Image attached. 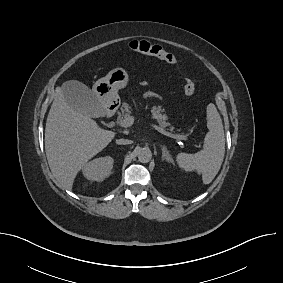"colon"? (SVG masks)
<instances>
[{
    "label": "colon",
    "mask_w": 283,
    "mask_h": 283,
    "mask_svg": "<svg viewBox=\"0 0 283 283\" xmlns=\"http://www.w3.org/2000/svg\"><path fill=\"white\" fill-rule=\"evenodd\" d=\"M128 47L131 51H134L136 53L149 55L158 58L170 65L177 66V60L173 54L166 51L160 45L154 44L148 40H144V39L133 40L128 44ZM195 90L196 88L194 82L189 77H185L183 83L184 93L187 96H192L194 95Z\"/></svg>",
    "instance_id": "5ec220e1"
}]
</instances>
